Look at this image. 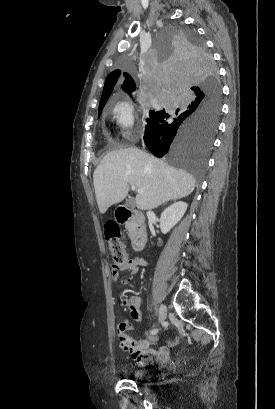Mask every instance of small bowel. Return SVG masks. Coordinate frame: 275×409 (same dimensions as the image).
Segmentation results:
<instances>
[{"instance_id":"small-bowel-1","label":"small bowel","mask_w":275,"mask_h":409,"mask_svg":"<svg viewBox=\"0 0 275 409\" xmlns=\"http://www.w3.org/2000/svg\"><path fill=\"white\" fill-rule=\"evenodd\" d=\"M127 270H131L132 275H137L138 274V267L139 264L134 261H129L128 265L126 266ZM111 274H110V279L112 280L113 283L117 282L118 274H119V269L118 268H112L111 269ZM131 278L130 277H125L124 280L120 281L121 285L124 284H130L131 283ZM129 306L131 308H134L130 311V316L132 320L128 321V324L126 322H118L116 325L117 328V336H118V349L120 351H131L130 352V359L131 360H136L137 363L141 366H148L152 364L154 361L157 362H166L169 357V352L165 347H159L157 349L153 348V345L157 343V337L155 335H149L146 340H140L136 337H131L129 334V327H134L135 326V321L134 320H139L140 319V314H139V306L140 303L138 301H131L129 303ZM129 326V327H128Z\"/></svg>"}]
</instances>
